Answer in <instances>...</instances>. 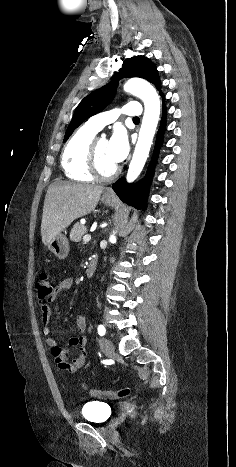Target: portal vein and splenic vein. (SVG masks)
<instances>
[{
    "mask_svg": "<svg viewBox=\"0 0 236 467\" xmlns=\"http://www.w3.org/2000/svg\"><path fill=\"white\" fill-rule=\"evenodd\" d=\"M91 240V236L89 234H86L84 237H83V241L85 242H89Z\"/></svg>",
    "mask_w": 236,
    "mask_h": 467,
    "instance_id": "1",
    "label": "portal vein and splenic vein"
}]
</instances>
